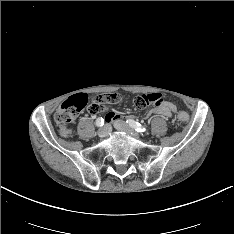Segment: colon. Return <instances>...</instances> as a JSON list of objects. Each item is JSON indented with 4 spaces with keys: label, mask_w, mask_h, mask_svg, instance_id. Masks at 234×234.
<instances>
[{
    "label": "colon",
    "mask_w": 234,
    "mask_h": 234,
    "mask_svg": "<svg viewBox=\"0 0 234 234\" xmlns=\"http://www.w3.org/2000/svg\"><path fill=\"white\" fill-rule=\"evenodd\" d=\"M91 100L92 98L89 99L85 94H76L68 98L60 105L55 113V121L60 128L61 136H70L71 130L68 128V124L71 123L85 107H87ZM177 121L180 123L187 122V113L179 112L177 115Z\"/></svg>",
    "instance_id": "5ec220e1"
}]
</instances>
